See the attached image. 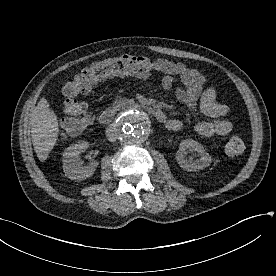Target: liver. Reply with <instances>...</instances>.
<instances>
[{"label":"liver","mask_w":276,"mask_h":276,"mask_svg":"<svg viewBox=\"0 0 276 276\" xmlns=\"http://www.w3.org/2000/svg\"><path fill=\"white\" fill-rule=\"evenodd\" d=\"M32 143L38 159L44 162L56 145L59 134L57 115L46 98H41L30 114Z\"/></svg>","instance_id":"obj_1"}]
</instances>
